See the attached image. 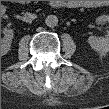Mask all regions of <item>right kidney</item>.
Segmentation results:
<instances>
[{
	"label": "right kidney",
	"mask_w": 109,
	"mask_h": 109,
	"mask_svg": "<svg viewBox=\"0 0 109 109\" xmlns=\"http://www.w3.org/2000/svg\"><path fill=\"white\" fill-rule=\"evenodd\" d=\"M14 33L12 29L4 30V37L1 39V53L5 55L9 50L12 43Z\"/></svg>",
	"instance_id": "right-kidney-1"
}]
</instances>
